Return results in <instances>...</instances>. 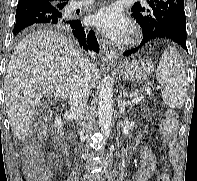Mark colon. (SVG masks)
Masks as SVG:
<instances>
[{"mask_svg": "<svg viewBox=\"0 0 197 181\" xmlns=\"http://www.w3.org/2000/svg\"><path fill=\"white\" fill-rule=\"evenodd\" d=\"M161 127L165 140L168 141L175 135L177 130L176 113L173 111L168 112L166 118L162 121ZM52 160L54 163H57L56 157H52ZM163 160L167 162L166 157ZM42 162L41 154L37 150L28 149L25 152L22 168L30 181H49V173L44 169ZM159 181H169L168 173L164 172L160 176Z\"/></svg>", "mask_w": 197, "mask_h": 181, "instance_id": "colon-1", "label": "colon"}]
</instances>
